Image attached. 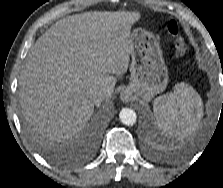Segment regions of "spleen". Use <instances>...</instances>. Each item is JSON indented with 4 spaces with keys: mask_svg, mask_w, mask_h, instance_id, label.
<instances>
[{
    "mask_svg": "<svg viewBox=\"0 0 223 188\" xmlns=\"http://www.w3.org/2000/svg\"><path fill=\"white\" fill-rule=\"evenodd\" d=\"M153 110L159 127L182 140L200 125L203 102L193 87L179 83L173 92L154 100Z\"/></svg>",
    "mask_w": 223,
    "mask_h": 188,
    "instance_id": "spleen-1",
    "label": "spleen"
}]
</instances>
